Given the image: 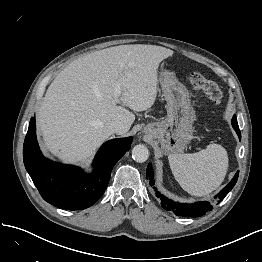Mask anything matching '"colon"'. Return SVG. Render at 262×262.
Here are the masks:
<instances>
[{
  "mask_svg": "<svg viewBox=\"0 0 262 262\" xmlns=\"http://www.w3.org/2000/svg\"><path fill=\"white\" fill-rule=\"evenodd\" d=\"M191 85L202 90L208 99L215 105L221 102L223 97L220 87L213 81L208 80L203 74L194 72L189 77Z\"/></svg>",
  "mask_w": 262,
  "mask_h": 262,
  "instance_id": "colon-1",
  "label": "colon"
}]
</instances>
